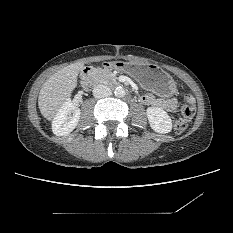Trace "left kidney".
<instances>
[{
	"label": "left kidney",
	"instance_id": "5707ae66",
	"mask_svg": "<svg viewBox=\"0 0 233 233\" xmlns=\"http://www.w3.org/2000/svg\"><path fill=\"white\" fill-rule=\"evenodd\" d=\"M151 128L157 133H169L172 130L170 116L161 108L149 107L146 110Z\"/></svg>",
	"mask_w": 233,
	"mask_h": 233
}]
</instances>
